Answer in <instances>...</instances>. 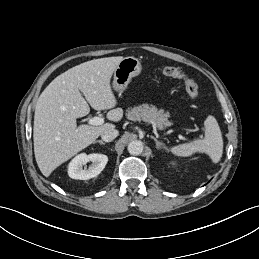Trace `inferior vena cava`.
Listing matches in <instances>:
<instances>
[{
    "label": "inferior vena cava",
    "instance_id": "obj_1",
    "mask_svg": "<svg viewBox=\"0 0 259 259\" xmlns=\"http://www.w3.org/2000/svg\"><path fill=\"white\" fill-rule=\"evenodd\" d=\"M118 134H119L118 130L108 129L101 134V138L105 142H111L118 136Z\"/></svg>",
    "mask_w": 259,
    "mask_h": 259
}]
</instances>
